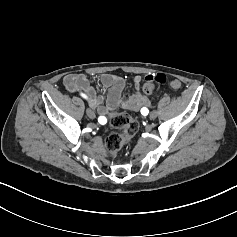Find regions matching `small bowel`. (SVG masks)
<instances>
[{"mask_svg": "<svg viewBox=\"0 0 237 237\" xmlns=\"http://www.w3.org/2000/svg\"><path fill=\"white\" fill-rule=\"evenodd\" d=\"M151 78H153L152 75L147 76V79ZM140 82L141 77L136 76L134 83L137 92L132 97L127 98L122 97L124 88L123 79L113 74L104 73L100 76L101 85L108 89L106 96L99 94L95 86L85 75L68 74L63 79L64 86L69 92L85 95L89 100L91 108L103 117L114 112L119 106L137 111L141 107L148 105V98L139 91ZM170 85L176 89L180 87V82L178 80H172Z\"/></svg>", "mask_w": 237, "mask_h": 237, "instance_id": "c3829d8e", "label": "small bowel"}]
</instances>
